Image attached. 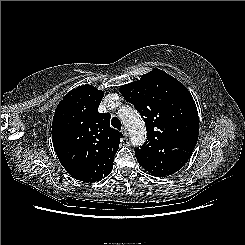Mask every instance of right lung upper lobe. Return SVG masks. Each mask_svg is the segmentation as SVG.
<instances>
[{
	"label": "right lung upper lobe",
	"mask_w": 245,
	"mask_h": 245,
	"mask_svg": "<svg viewBox=\"0 0 245 245\" xmlns=\"http://www.w3.org/2000/svg\"><path fill=\"white\" fill-rule=\"evenodd\" d=\"M103 92L92 85L72 89L58 104L52 141L60 163L80 181L92 183L107 176L122 133L110 127L109 113H99Z\"/></svg>",
	"instance_id": "1"
}]
</instances>
